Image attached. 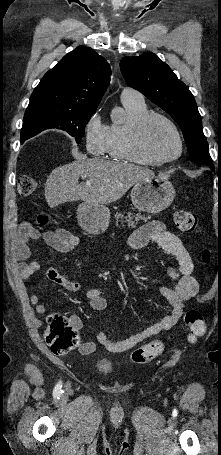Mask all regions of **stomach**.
I'll return each mask as SVG.
<instances>
[{"label": "stomach", "mask_w": 221, "mask_h": 455, "mask_svg": "<svg viewBox=\"0 0 221 455\" xmlns=\"http://www.w3.org/2000/svg\"><path fill=\"white\" fill-rule=\"evenodd\" d=\"M175 195L172 183L155 175L138 181L131 190L133 205L138 210L149 213H158L168 208ZM77 219L85 231L99 234L108 228L110 211L103 204L83 203L78 207Z\"/></svg>", "instance_id": "stomach-1"}]
</instances>
